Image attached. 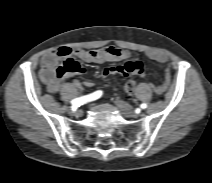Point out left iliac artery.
Returning a JSON list of instances; mask_svg holds the SVG:
<instances>
[{"instance_id": "obj_1", "label": "left iliac artery", "mask_w": 212, "mask_h": 183, "mask_svg": "<svg viewBox=\"0 0 212 183\" xmlns=\"http://www.w3.org/2000/svg\"><path fill=\"white\" fill-rule=\"evenodd\" d=\"M140 107H141L142 109H145V108H147V104L143 103V104H141Z\"/></svg>"}]
</instances>
